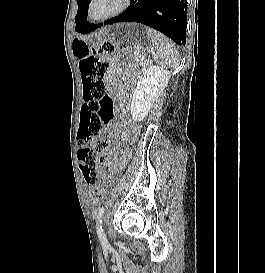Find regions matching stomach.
I'll use <instances>...</instances> for the list:
<instances>
[{"label":"stomach","instance_id":"stomach-1","mask_svg":"<svg viewBox=\"0 0 265 273\" xmlns=\"http://www.w3.org/2000/svg\"><path fill=\"white\" fill-rule=\"evenodd\" d=\"M100 35H103L102 40H121V45H134V49L139 50L144 48V40H147V35H153V30H147V25L138 24L106 25V30H100ZM89 46V43L81 39H74L72 43L73 51L78 57L84 54ZM135 55L141 56L142 52L136 51Z\"/></svg>","mask_w":265,"mask_h":273}]
</instances>
